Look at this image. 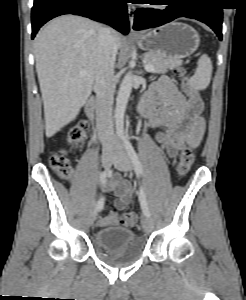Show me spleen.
Listing matches in <instances>:
<instances>
[{"label":"spleen","mask_w":246,"mask_h":300,"mask_svg":"<svg viewBox=\"0 0 246 300\" xmlns=\"http://www.w3.org/2000/svg\"><path fill=\"white\" fill-rule=\"evenodd\" d=\"M212 62L208 55H202L197 62L195 74L190 78L189 83L195 90L206 89L211 81Z\"/></svg>","instance_id":"obj_1"}]
</instances>
